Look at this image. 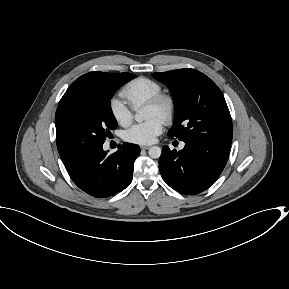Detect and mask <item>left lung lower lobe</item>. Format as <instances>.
Instances as JSON below:
<instances>
[{"mask_svg": "<svg viewBox=\"0 0 289 289\" xmlns=\"http://www.w3.org/2000/svg\"><path fill=\"white\" fill-rule=\"evenodd\" d=\"M184 149L164 146L159 169L174 190L195 195L208 189L219 177L228 160L230 143L203 139L186 140Z\"/></svg>", "mask_w": 289, "mask_h": 289, "instance_id": "left-lung-lower-lobe-1", "label": "left lung lower lobe"}]
</instances>
